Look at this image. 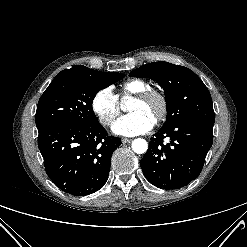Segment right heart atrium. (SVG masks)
<instances>
[{
	"label": "right heart atrium",
	"instance_id": "1",
	"mask_svg": "<svg viewBox=\"0 0 247 247\" xmlns=\"http://www.w3.org/2000/svg\"><path fill=\"white\" fill-rule=\"evenodd\" d=\"M91 108L99 122L110 126L120 114L118 97L108 87L98 90L92 98Z\"/></svg>",
	"mask_w": 247,
	"mask_h": 247
}]
</instances>
